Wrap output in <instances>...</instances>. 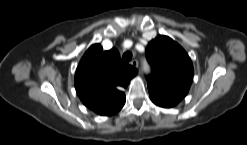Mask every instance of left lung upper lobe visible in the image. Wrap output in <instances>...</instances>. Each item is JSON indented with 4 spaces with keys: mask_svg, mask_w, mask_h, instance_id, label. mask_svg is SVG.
<instances>
[{
    "mask_svg": "<svg viewBox=\"0 0 247 145\" xmlns=\"http://www.w3.org/2000/svg\"><path fill=\"white\" fill-rule=\"evenodd\" d=\"M146 57L152 67L148 89L184 98L193 80V65L185 50L171 38L157 36L149 42Z\"/></svg>",
    "mask_w": 247,
    "mask_h": 145,
    "instance_id": "1",
    "label": "left lung upper lobe"
}]
</instances>
